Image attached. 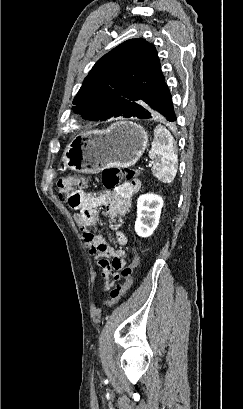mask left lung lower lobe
<instances>
[{
    "label": "left lung lower lobe",
    "instance_id": "left-lung-lower-lobe-1",
    "mask_svg": "<svg viewBox=\"0 0 243 409\" xmlns=\"http://www.w3.org/2000/svg\"><path fill=\"white\" fill-rule=\"evenodd\" d=\"M123 109V115L121 116L124 117L149 119L156 114H160L170 122L176 120L171 94L165 84V79L148 91L139 102L126 105ZM111 117H118V114L110 112L104 115L100 120H106Z\"/></svg>",
    "mask_w": 243,
    "mask_h": 409
}]
</instances>
